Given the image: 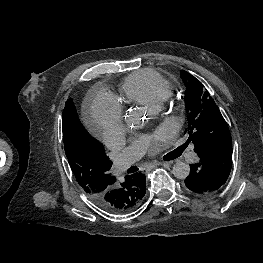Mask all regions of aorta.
<instances>
[{
	"label": "aorta",
	"mask_w": 263,
	"mask_h": 263,
	"mask_svg": "<svg viewBox=\"0 0 263 263\" xmlns=\"http://www.w3.org/2000/svg\"><path fill=\"white\" fill-rule=\"evenodd\" d=\"M125 117L126 123L131 127H135L139 123L140 118L132 112H128ZM172 173L178 179H185L189 176L190 166L184 162H177L173 165Z\"/></svg>",
	"instance_id": "1"
}]
</instances>
